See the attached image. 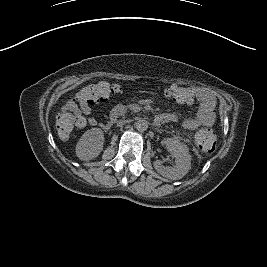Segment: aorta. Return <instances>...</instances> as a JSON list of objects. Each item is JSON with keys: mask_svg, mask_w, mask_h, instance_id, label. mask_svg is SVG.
Segmentation results:
<instances>
[{"mask_svg": "<svg viewBox=\"0 0 267 267\" xmlns=\"http://www.w3.org/2000/svg\"><path fill=\"white\" fill-rule=\"evenodd\" d=\"M135 128L139 131V132H144L147 130L148 128V122L145 119H139L136 123H135Z\"/></svg>", "mask_w": 267, "mask_h": 267, "instance_id": "762f6f07", "label": "aorta"}]
</instances>
